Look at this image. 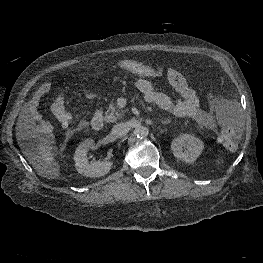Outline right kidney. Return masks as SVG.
I'll list each match as a JSON object with an SVG mask.
<instances>
[{
  "label": "right kidney",
  "instance_id": "ca27d5eb",
  "mask_svg": "<svg viewBox=\"0 0 263 263\" xmlns=\"http://www.w3.org/2000/svg\"><path fill=\"white\" fill-rule=\"evenodd\" d=\"M96 148L92 139L82 142L76 149L74 154L75 167L77 171L87 177L99 178L109 173L113 163L109 160L105 161H88L87 152Z\"/></svg>",
  "mask_w": 263,
  "mask_h": 263
}]
</instances>
